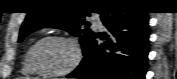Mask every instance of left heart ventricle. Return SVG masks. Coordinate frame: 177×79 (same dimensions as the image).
I'll return each mask as SVG.
<instances>
[{
	"instance_id": "1",
	"label": "left heart ventricle",
	"mask_w": 177,
	"mask_h": 79,
	"mask_svg": "<svg viewBox=\"0 0 177 79\" xmlns=\"http://www.w3.org/2000/svg\"><path fill=\"white\" fill-rule=\"evenodd\" d=\"M35 58L40 67L48 71L63 70L74 59L73 46L62 40H48L36 50Z\"/></svg>"
}]
</instances>
